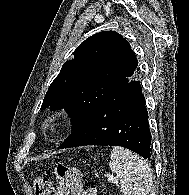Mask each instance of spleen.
Returning a JSON list of instances; mask_svg holds the SVG:
<instances>
[{
    "label": "spleen",
    "instance_id": "spleen-1",
    "mask_svg": "<svg viewBox=\"0 0 189 195\" xmlns=\"http://www.w3.org/2000/svg\"><path fill=\"white\" fill-rule=\"evenodd\" d=\"M109 167L120 178V191L124 195H148L152 188L150 164L138 154L115 146Z\"/></svg>",
    "mask_w": 189,
    "mask_h": 195
}]
</instances>
